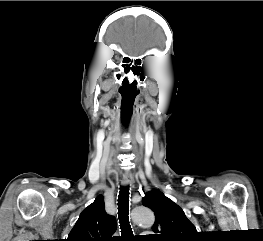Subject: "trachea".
Segmentation results:
<instances>
[{
    "instance_id": "trachea-1",
    "label": "trachea",
    "mask_w": 263,
    "mask_h": 241,
    "mask_svg": "<svg viewBox=\"0 0 263 241\" xmlns=\"http://www.w3.org/2000/svg\"><path fill=\"white\" fill-rule=\"evenodd\" d=\"M118 219L121 229V241H131L133 238L132 228L129 222V187H120L118 195Z\"/></svg>"
}]
</instances>
